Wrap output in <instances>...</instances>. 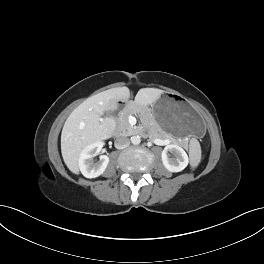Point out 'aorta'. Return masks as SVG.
I'll return each instance as SVG.
<instances>
[{
	"label": "aorta",
	"instance_id": "aorta-1",
	"mask_svg": "<svg viewBox=\"0 0 264 264\" xmlns=\"http://www.w3.org/2000/svg\"><path fill=\"white\" fill-rule=\"evenodd\" d=\"M130 140H131V143L134 144V145H138L141 142V138L138 135L137 136H132Z\"/></svg>",
	"mask_w": 264,
	"mask_h": 264
}]
</instances>
